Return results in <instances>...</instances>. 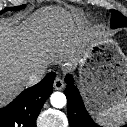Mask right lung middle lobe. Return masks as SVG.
Segmentation results:
<instances>
[{
	"label": "right lung middle lobe",
	"mask_w": 127,
	"mask_h": 127,
	"mask_svg": "<svg viewBox=\"0 0 127 127\" xmlns=\"http://www.w3.org/2000/svg\"><path fill=\"white\" fill-rule=\"evenodd\" d=\"M24 7H25V5H21V6H17V7H8V8H5L4 11H16V10H20ZM4 11H0V14H2Z\"/></svg>",
	"instance_id": "right-lung-middle-lobe-1"
}]
</instances>
